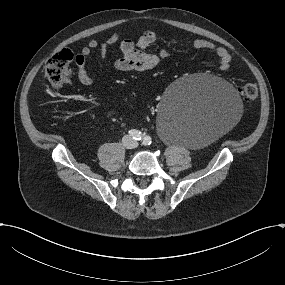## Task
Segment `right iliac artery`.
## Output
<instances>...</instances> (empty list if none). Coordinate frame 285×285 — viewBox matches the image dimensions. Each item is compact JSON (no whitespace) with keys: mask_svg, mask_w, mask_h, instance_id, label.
Listing matches in <instances>:
<instances>
[{"mask_svg":"<svg viewBox=\"0 0 285 285\" xmlns=\"http://www.w3.org/2000/svg\"><path fill=\"white\" fill-rule=\"evenodd\" d=\"M129 135L134 139V140H141L142 139V133L138 130L131 129L129 130Z\"/></svg>","mask_w":285,"mask_h":285,"instance_id":"obj_1","label":"right iliac artery"}]
</instances>
